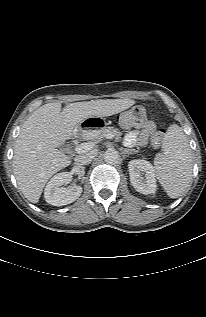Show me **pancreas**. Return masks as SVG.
Masks as SVG:
<instances>
[{
  "instance_id": "cf45deb5",
  "label": "pancreas",
  "mask_w": 206,
  "mask_h": 317,
  "mask_svg": "<svg viewBox=\"0 0 206 317\" xmlns=\"http://www.w3.org/2000/svg\"><path fill=\"white\" fill-rule=\"evenodd\" d=\"M107 134H112L114 138L119 141L121 139L122 133L114 127H106L99 131V134L94 135V140L96 142L100 141L103 137H105Z\"/></svg>"
}]
</instances>
